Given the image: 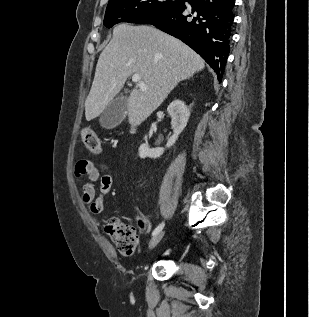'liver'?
Masks as SVG:
<instances>
[{"label": "liver", "mask_w": 309, "mask_h": 317, "mask_svg": "<svg viewBox=\"0 0 309 317\" xmlns=\"http://www.w3.org/2000/svg\"><path fill=\"white\" fill-rule=\"evenodd\" d=\"M203 59L180 40L151 26L119 24L99 56L85 117H98L132 74L147 90L134 88L127 99L128 121L140 125L182 81L204 68Z\"/></svg>", "instance_id": "1"}]
</instances>
